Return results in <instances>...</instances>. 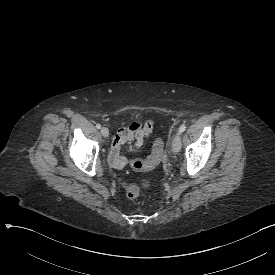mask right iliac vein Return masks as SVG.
Segmentation results:
<instances>
[{
  "label": "right iliac vein",
  "instance_id": "right-iliac-vein-1",
  "mask_svg": "<svg viewBox=\"0 0 275 275\" xmlns=\"http://www.w3.org/2000/svg\"><path fill=\"white\" fill-rule=\"evenodd\" d=\"M101 134L105 138L108 137L109 136V130H108V128H106V127L101 128Z\"/></svg>",
  "mask_w": 275,
  "mask_h": 275
}]
</instances>
